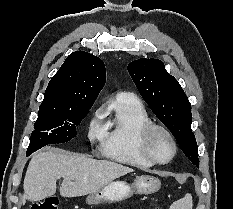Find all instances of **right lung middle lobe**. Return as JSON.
I'll use <instances>...</instances> for the list:
<instances>
[{
  "label": "right lung middle lobe",
  "mask_w": 233,
  "mask_h": 209,
  "mask_svg": "<svg viewBox=\"0 0 233 209\" xmlns=\"http://www.w3.org/2000/svg\"><path fill=\"white\" fill-rule=\"evenodd\" d=\"M92 105L74 107L61 113H40L31 134L27 156L48 144L65 143L76 137V127Z\"/></svg>",
  "instance_id": "obj_1"
}]
</instances>
